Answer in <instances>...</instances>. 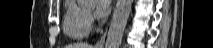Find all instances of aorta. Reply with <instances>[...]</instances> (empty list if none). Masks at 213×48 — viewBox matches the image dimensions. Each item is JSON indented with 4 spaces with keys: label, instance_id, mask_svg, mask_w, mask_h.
I'll use <instances>...</instances> for the list:
<instances>
[{
    "label": "aorta",
    "instance_id": "1",
    "mask_svg": "<svg viewBox=\"0 0 213 48\" xmlns=\"http://www.w3.org/2000/svg\"><path fill=\"white\" fill-rule=\"evenodd\" d=\"M133 0H117L112 20L107 33L105 48H119L129 15L131 13Z\"/></svg>",
    "mask_w": 213,
    "mask_h": 48
}]
</instances>
